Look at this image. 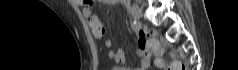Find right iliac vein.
Returning a JSON list of instances; mask_svg holds the SVG:
<instances>
[{
  "instance_id": "1",
  "label": "right iliac vein",
  "mask_w": 238,
  "mask_h": 70,
  "mask_svg": "<svg viewBox=\"0 0 238 70\" xmlns=\"http://www.w3.org/2000/svg\"><path fill=\"white\" fill-rule=\"evenodd\" d=\"M127 9L129 13L132 15V17L136 20H140L142 17V12L138 7L135 6H127Z\"/></svg>"
}]
</instances>
